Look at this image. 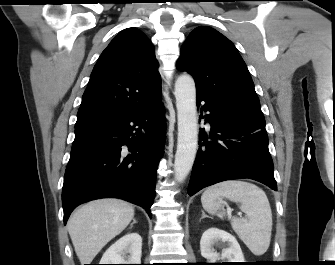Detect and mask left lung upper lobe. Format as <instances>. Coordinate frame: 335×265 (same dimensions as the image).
Wrapping results in <instances>:
<instances>
[{
    "label": "left lung upper lobe",
    "instance_id": "obj_1",
    "mask_svg": "<svg viewBox=\"0 0 335 265\" xmlns=\"http://www.w3.org/2000/svg\"><path fill=\"white\" fill-rule=\"evenodd\" d=\"M177 69L194 77L196 94L265 124L245 62L233 43L215 29L200 26L192 31Z\"/></svg>",
    "mask_w": 335,
    "mask_h": 265
}]
</instances>
